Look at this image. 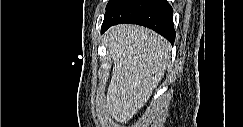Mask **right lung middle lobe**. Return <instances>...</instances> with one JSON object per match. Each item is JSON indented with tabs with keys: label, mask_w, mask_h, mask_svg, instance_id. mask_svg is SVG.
I'll use <instances>...</instances> for the list:
<instances>
[{
	"label": "right lung middle lobe",
	"mask_w": 243,
	"mask_h": 127,
	"mask_svg": "<svg viewBox=\"0 0 243 127\" xmlns=\"http://www.w3.org/2000/svg\"><path fill=\"white\" fill-rule=\"evenodd\" d=\"M112 1H114V0H110L107 5H109Z\"/></svg>",
	"instance_id": "right-lung-middle-lobe-1"
}]
</instances>
